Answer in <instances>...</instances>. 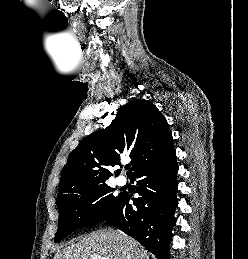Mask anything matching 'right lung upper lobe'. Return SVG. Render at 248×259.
<instances>
[{
  "label": "right lung upper lobe",
  "mask_w": 248,
  "mask_h": 259,
  "mask_svg": "<svg viewBox=\"0 0 248 259\" xmlns=\"http://www.w3.org/2000/svg\"><path fill=\"white\" fill-rule=\"evenodd\" d=\"M110 126L85 137L64 166L57 198L74 188L106 182L110 167L129 156L128 176L175 152L169 125L148 100H133L117 109ZM118 171H116V175Z\"/></svg>",
  "instance_id": "cb5924a9"
}]
</instances>
